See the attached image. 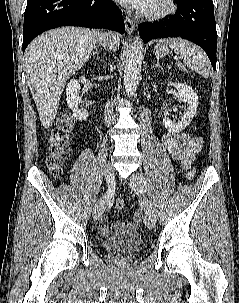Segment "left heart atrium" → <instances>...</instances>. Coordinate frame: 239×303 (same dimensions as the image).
<instances>
[{"mask_svg": "<svg viewBox=\"0 0 239 303\" xmlns=\"http://www.w3.org/2000/svg\"><path fill=\"white\" fill-rule=\"evenodd\" d=\"M122 3H125L127 5H130L132 8L136 10H146V8L149 6L151 0H119Z\"/></svg>", "mask_w": 239, "mask_h": 303, "instance_id": "left-heart-atrium-1", "label": "left heart atrium"}]
</instances>
